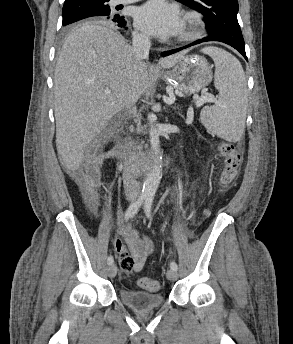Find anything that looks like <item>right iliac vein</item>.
<instances>
[{"instance_id": "1", "label": "right iliac vein", "mask_w": 293, "mask_h": 344, "mask_svg": "<svg viewBox=\"0 0 293 344\" xmlns=\"http://www.w3.org/2000/svg\"><path fill=\"white\" fill-rule=\"evenodd\" d=\"M116 273H117L116 265L115 264L109 265V267H108V276L110 278H114L116 276Z\"/></svg>"}]
</instances>
